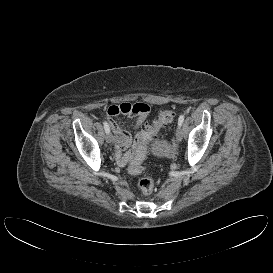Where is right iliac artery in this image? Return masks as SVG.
<instances>
[{"label":"right iliac artery","mask_w":273,"mask_h":273,"mask_svg":"<svg viewBox=\"0 0 273 273\" xmlns=\"http://www.w3.org/2000/svg\"><path fill=\"white\" fill-rule=\"evenodd\" d=\"M103 124H104L105 132H106V133H109V132H110V128H109L108 123H107L106 121H104Z\"/></svg>","instance_id":"1"}]
</instances>
